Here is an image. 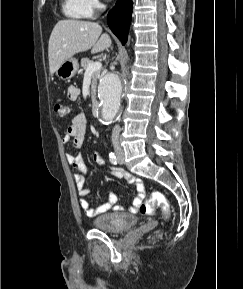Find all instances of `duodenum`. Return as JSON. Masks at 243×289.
<instances>
[{
  "label": "duodenum",
  "instance_id": "duodenum-1",
  "mask_svg": "<svg viewBox=\"0 0 243 289\" xmlns=\"http://www.w3.org/2000/svg\"><path fill=\"white\" fill-rule=\"evenodd\" d=\"M91 109H92V113L94 116H99L100 114V103L98 100H93L92 101V106H91Z\"/></svg>",
  "mask_w": 243,
  "mask_h": 289
}]
</instances>
